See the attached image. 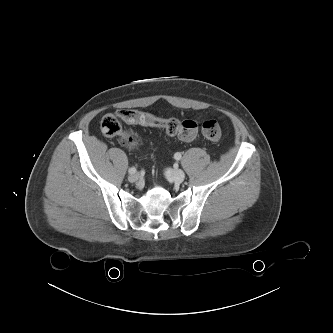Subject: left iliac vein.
I'll return each mask as SVG.
<instances>
[{
	"label": "left iliac vein",
	"mask_w": 333,
	"mask_h": 333,
	"mask_svg": "<svg viewBox=\"0 0 333 333\" xmlns=\"http://www.w3.org/2000/svg\"><path fill=\"white\" fill-rule=\"evenodd\" d=\"M166 176L170 179H172L176 183H181L185 179V173L181 169H176V170H169L166 173Z\"/></svg>",
	"instance_id": "4c4485c4"
}]
</instances>
